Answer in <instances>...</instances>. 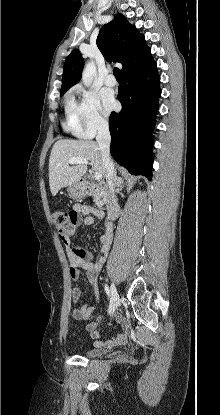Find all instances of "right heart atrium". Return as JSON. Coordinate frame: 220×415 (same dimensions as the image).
<instances>
[{
    "label": "right heart atrium",
    "mask_w": 220,
    "mask_h": 415,
    "mask_svg": "<svg viewBox=\"0 0 220 415\" xmlns=\"http://www.w3.org/2000/svg\"><path fill=\"white\" fill-rule=\"evenodd\" d=\"M79 100L73 99L71 110L76 124V133L81 138L89 139L105 131L108 121L101 111L100 100L93 91L78 87Z\"/></svg>",
    "instance_id": "d8ad5b80"
}]
</instances>
